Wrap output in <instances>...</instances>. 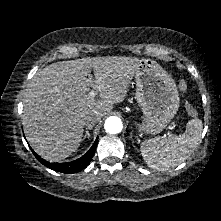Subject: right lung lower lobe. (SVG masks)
<instances>
[{"instance_id": "right-lung-lower-lobe-1", "label": "right lung lower lobe", "mask_w": 221, "mask_h": 221, "mask_svg": "<svg viewBox=\"0 0 221 221\" xmlns=\"http://www.w3.org/2000/svg\"><path fill=\"white\" fill-rule=\"evenodd\" d=\"M97 143H98V140L96 139V141L94 142V144L92 145V147L89 149V151L86 154H84L82 157H80L77 160L66 162V163L47 162L44 159H42L40 156H38L32 149L31 150L33 154L35 155L36 159L39 162H41L43 165L55 171L70 174V173H76V172L83 170L89 164V162L91 161L95 153Z\"/></svg>"}]
</instances>
